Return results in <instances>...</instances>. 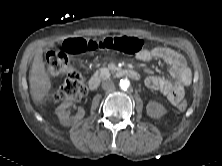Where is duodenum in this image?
I'll return each mask as SVG.
<instances>
[{
  "instance_id": "duodenum-1",
  "label": "duodenum",
  "mask_w": 222,
  "mask_h": 166,
  "mask_svg": "<svg viewBox=\"0 0 222 166\" xmlns=\"http://www.w3.org/2000/svg\"><path fill=\"white\" fill-rule=\"evenodd\" d=\"M120 74L123 75V76H127L129 78H132L134 80L139 79V74L135 70H132V69H127V68L122 69L120 71ZM100 81H101V79H100L99 75H93L88 80L87 86L92 91L96 90L100 85Z\"/></svg>"
}]
</instances>
